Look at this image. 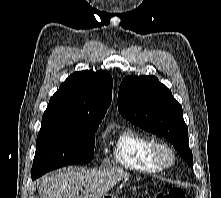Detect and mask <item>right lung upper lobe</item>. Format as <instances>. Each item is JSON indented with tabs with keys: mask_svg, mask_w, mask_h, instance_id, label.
I'll return each mask as SVG.
<instances>
[{
	"mask_svg": "<svg viewBox=\"0 0 221 198\" xmlns=\"http://www.w3.org/2000/svg\"><path fill=\"white\" fill-rule=\"evenodd\" d=\"M112 86L106 71L73 73L51 97L40 130L82 132L99 126L111 103Z\"/></svg>",
	"mask_w": 221,
	"mask_h": 198,
	"instance_id": "1",
	"label": "right lung upper lobe"
}]
</instances>
